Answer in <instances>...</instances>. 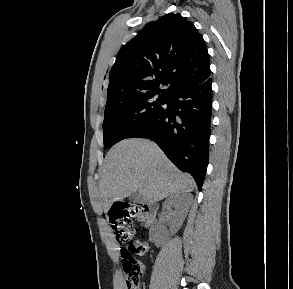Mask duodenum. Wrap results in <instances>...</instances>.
<instances>
[{
  "mask_svg": "<svg viewBox=\"0 0 293 289\" xmlns=\"http://www.w3.org/2000/svg\"><path fill=\"white\" fill-rule=\"evenodd\" d=\"M157 212V206L156 205H148L145 208V214H146V218H145V224L149 225L151 223V221L153 220V218L155 217Z\"/></svg>",
  "mask_w": 293,
  "mask_h": 289,
  "instance_id": "1",
  "label": "duodenum"
}]
</instances>
